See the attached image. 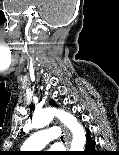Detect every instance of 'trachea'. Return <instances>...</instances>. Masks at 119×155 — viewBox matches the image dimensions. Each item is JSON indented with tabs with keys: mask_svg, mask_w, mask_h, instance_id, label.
<instances>
[{
	"mask_svg": "<svg viewBox=\"0 0 119 155\" xmlns=\"http://www.w3.org/2000/svg\"><path fill=\"white\" fill-rule=\"evenodd\" d=\"M61 141H63V136H61Z\"/></svg>",
	"mask_w": 119,
	"mask_h": 155,
	"instance_id": "1",
	"label": "trachea"
}]
</instances>
